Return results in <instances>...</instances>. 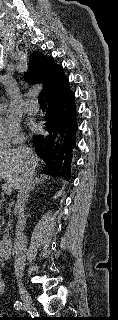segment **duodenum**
Listing matches in <instances>:
<instances>
[{
  "mask_svg": "<svg viewBox=\"0 0 118 320\" xmlns=\"http://www.w3.org/2000/svg\"><path fill=\"white\" fill-rule=\"evenodd\" d=\"M12 238L8 237L0 241V258H8L12 247Z\"/></svg>",
  "mask_w": 118,
  "mask_h": 320,
  "instance_id": "410a0bca",
  "label": "duodenum"
}]
</instances>
